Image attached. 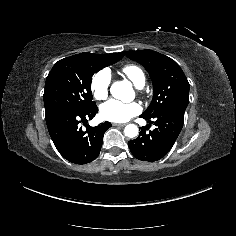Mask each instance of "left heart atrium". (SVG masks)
<instances>
[{"mask_svg":"<svg viewBox=\"0 0 236 236\" xmlns=\"http://www.w3.org/2000/svg\"><path fill=\"white\" fill-rule=\"evenodd\" d=\"M140 111L141 107L137 103H122L110 100L101 106L100 116L102 119L111 122H125Z\"/></svg>","mask_w":236,"mask_h":236,"instance_id":"39dd6f15","label":"left heart atrium"}]
</instances>
